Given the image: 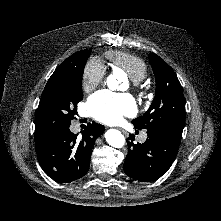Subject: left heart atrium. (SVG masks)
Wrapping results in <instances>:
<instances>
[{"instance_id":"left-heart-atrium-1","label":"left heart atrium","mask_w":221,"mask_h":221,"mask_svg":"<svg viewBox=\"0 0 221 221\" xmlns=\"http://www.w3.org/2000/svg\"><path fill=\"white\" fill-rule=\"evenodd\" d=\"M87 109L94 119L107 124H116L124 116L134 115L137 110L136 103L129 94L109 90L93 94L87 102Z\"/></svg>"}]
</instances>
